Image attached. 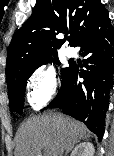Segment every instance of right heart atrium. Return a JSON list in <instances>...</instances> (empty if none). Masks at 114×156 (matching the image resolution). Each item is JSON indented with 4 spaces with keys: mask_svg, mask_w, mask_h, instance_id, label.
Listing matches in <instances>:
<instances>
[{
    "mask_svg": "<svg viewBox=\"0 0 114 156\" xmlns=\"http://www.w3.org/2000/svg\"><path fill=\"white\" fill-rule=\"evenodd\" d=\"M59 89V77L57 71L50 66H40L30 75L27 84V100L35 109H41L49 103Z\"/></svg>",
    "mask_w": 114,
    "mask_h": 156,
    "instance_id": "obj_1",
    "label": "right heart atrium"
}]
</instances>
